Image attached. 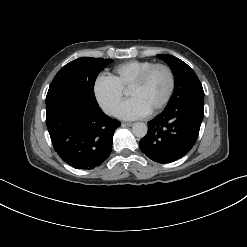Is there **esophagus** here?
I'll use <instances>...</instances> for the list:
<instances>
[{"label": "esophagus", "mask_w": 247, "mask_h": 247, "mask_svg": "<svg viewBox=\"0 0 247 247\" xmlns=\"http://www.w3.org/2000/svg\"><path fill=\"white\" fill-rule=\"evenodd\" d=\"M122 125L130 127V126L133 125V123H131V122H122Z\"/></svg>", "instance_id": "esophagus-1"}]
</instances>
